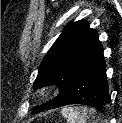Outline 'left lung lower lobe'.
<instances>
[{"label":"left lung lower lobe","instance_id":"1","mask_svg":"<svg viewBox=\"0 0 122 123\" xmlns=\"http://www.w3.org/2000/svg\"><path fill=\"white\" fill-rule=\"evenodd\" d=\"M110 100L103 50L94 56L74 77L52 109L83 104L101 109Z\"/></svg>","mask_w":122,"mask_h":123}]
</instances>
